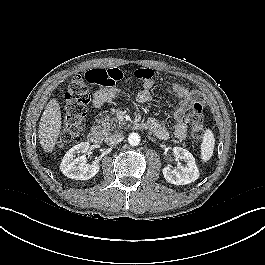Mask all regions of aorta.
I'll return each mask as SVG.
<instances>
[{
    "mask_svg": "<svg viewBox=\"0 0 265 265\" xmlns=\"http://www.w3.org/2000/svg\"><path fill=\"white\" fill-rule=\"evenodd\" d=\"M128 142L132 146H137L140 143V135L138 133H131L128 137Z\"/></svg>",
    "mask_w": 265,
    "mask_h": 265,
    "instance_id": "aorta-1",
    "label": "aorta"
}]
</instances>
